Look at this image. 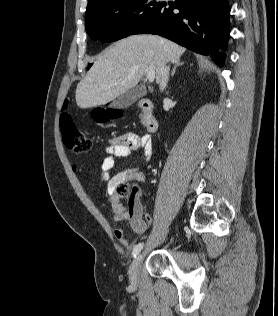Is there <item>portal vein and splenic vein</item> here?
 Returning a JSON list of instances; mask_svg holds the SVG:
<instances>
[{
  "label": "portal vein and splenic vein",
  "mask_w": 278,
  "mask_h": 316,
  "mask_svg": "<svg viewBox=\"0 0 278 316\" xmlns=\"http://www.w3.org/2000/svg\"><path fill=\"white\" fill-rule=\"evenodd\" d=\"M146 77L149 80V82H153L155 79V71L154 70L148 71L146 74Z\"/></svg>",
  "instance_id": "obj_1"
}]
</instances>
